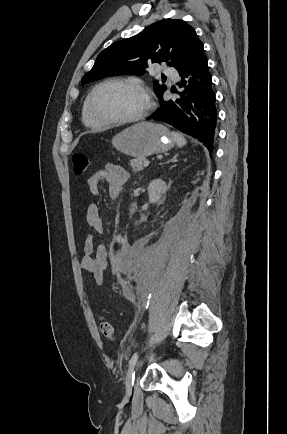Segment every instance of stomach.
<instances>
[{"mask_svg": "<svg viewBox=\"0 0 287 434\" xmlns=\"http://www.w3.org/2000/svg\"><path fill=\"white\" fill-rule=\"evenodd\" d=\"M112 144L121 153L139 158L167 152L175 140L163 125L140 122L115 135Z\"/></svg>", "mask_w": 287, "mask_h": 434, "instance_id": "1", "label": "stomach"}]
</instances>
